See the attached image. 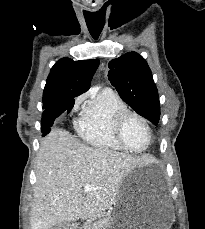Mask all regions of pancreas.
<instances>
[{
	"mask_svg": "<svg viewBox=\"0 0 205 229\" xmlns=\"http://www.w3.org/2000/svg\"><path fill=\"white\" fill-rule=\"evenodd\" d=\"M111 218L112 216L109 212H105V210L98 211L90 217L83 229H106Z\"/></svg>",
	"mask_w": 205,
	"mask_h": 229,
	"instance_id": "1",
	"label": "pancreas"
}]
</instances>
